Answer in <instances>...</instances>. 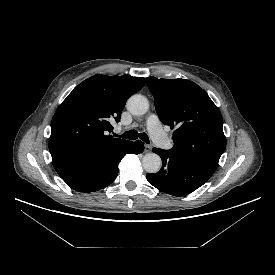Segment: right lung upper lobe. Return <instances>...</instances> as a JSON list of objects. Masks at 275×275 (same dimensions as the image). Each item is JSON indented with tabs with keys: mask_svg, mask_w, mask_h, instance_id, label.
<instances>
[{
	"mask_svg": "<svg viewBox=\"0 0 275 275\" xmlns=\"http://www.w3.org/2000/svg\"><path fill=\"white\" fill-rule=\"evenodd\" d=\"M144 84L142 77L95 75L73 89L51 123L49 151L61 178L108 161L132 142L106 134Z\"/></svg>",
	"mask_w": 275,
	"mask_h": 275,
	"instance_id": "obj_1",
	"label": "right lung upper lobe"
}]
</instances>
